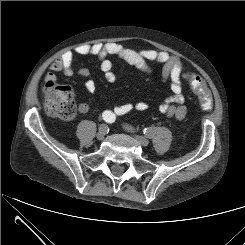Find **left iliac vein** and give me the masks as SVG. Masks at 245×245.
<instances>
[{"label": "left iliac vein", "mask_w": 245, "mask_h": 245, "mask_svg": "<svg viewBox=\"0 0 245 245\" xmlns=\"http://www.w3.org/2000/svg\"><path fill=\"white\" fill-rule=\"evenodd\" d=\"M128 130H130V129H128ZM136 138L141 145L148 146L149 140L145 136L137 135Z\"/></svg>", "instance_id": "obj_1"}]
</instances>
